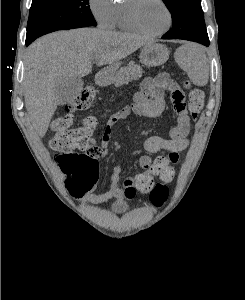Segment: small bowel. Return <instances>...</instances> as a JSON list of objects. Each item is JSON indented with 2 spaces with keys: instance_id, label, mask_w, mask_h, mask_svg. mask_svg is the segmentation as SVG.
<instances>
[{
  "instance_id": "c3829d8e",
  "label": "small bowel",
  "mask_w": 245,
  "mask_h": 300,
  "mask_svg": "<svg viewBox=\"0 0 245 300\" xmlns=\"http://www.w3.org/2000/svg\"><path fill=\"white\" fill-rule=\"evenodd\" d=\"M166 95L169 96L176 113V125L171 128L168 138L160 136L146 138L144 149L148 154L160 151H166L167 154L155 159L144 155L140 158L139 165L146 170V174L161 178L160 181L153 183V190L168 188L169 184L173 182L174 172H176V165L171 164L176 163L179 153L188 147L190 133V117L186 109L184 93L168 73L163 72L154 78L145 79L135 95L134 103L109 116L102 134L101 144L97 145L95 140L91 139L87 151L96 159L107 156V144L115 124L126 118L131 112L149 118L160 116L165 109ZM120 172V166L116 165L111 176L109 190L100 194L88 193L84 196V200L102 203L112 198H134L137 190L135 186L137 175L129 176L121 182Z\"/></svg>"
}]
</instances>
